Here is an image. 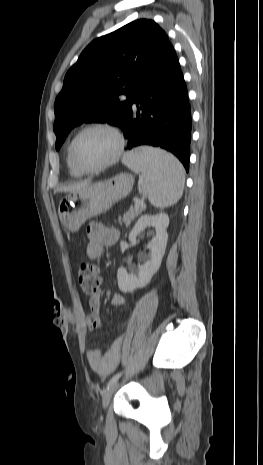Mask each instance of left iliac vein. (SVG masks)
<instances>
[{
  "label": "left iliac vein",
  "instance_id": "left-iliac-vein-1",
  "mask_svg": "<svg viewBox=\"0 0 263 465\" xmlns=\"http://www.w3.org/2000/svg\"><path fill=\"white\" fill-rule=\"evenodd\" d=\"M118 386V380L113 382L112 384H110L107 389L105 390L104 394H103V398H102V407L104 410L107 409L108 405H109V402H110V399H111V396L112 394L114 393V391L116 390Z\"/></svg>",
  "mask_w": 263,
  "mask_h": 465
}]
</instances>
